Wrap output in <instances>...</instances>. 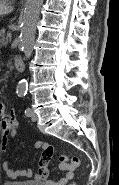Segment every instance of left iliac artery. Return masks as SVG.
<instances>
[{
    "label": "left iliac artery",
    "mask_w": 119,
    "mask_h": 185,
    "mask_svg": "<svg viewBox=\"0 0 119 185\" xmlns=\"http://www.w3.org/2000/svg\"><path fill=\"white\" fill-rule=\"evenodd\" d=\"M25 115L30 116V108L25 109Z\"/></svg>",
    "instance_id": "obj_1"
}]
</instances>
